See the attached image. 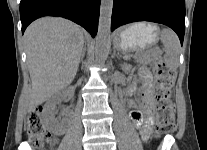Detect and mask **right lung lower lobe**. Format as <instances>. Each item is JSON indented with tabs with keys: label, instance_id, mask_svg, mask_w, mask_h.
<instances>
[{
	"label": "right lung lower lobe",
	"instance_id": "obj_1",
	"mask_svg": "<svg viewBox=\"0 0 207 150\" xmlns=\"http://www.w3.org/2000/svg\"><path fill=\"white\" fill-rule=\"evenodd\" d=\"M100 0H21L22 33L35 19L60 16L83 26L92 37L98 30Z\"/></svg>",
	"mask_w": 207,
	"mask_h": 150
}]
</instances>
